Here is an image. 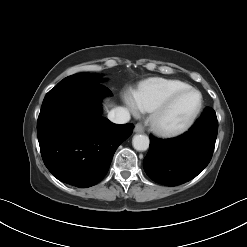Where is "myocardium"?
<instances>
[{
    "instance_id": "obj_1",
    "label": "myocardium",
    "mask_w": 247,
    "mask_h": 247,
    "mask_svg": "<svg viewBox=\"0 0 247 247\" xmlns=\"http://www.w3.org/2000/svg\"><path fill=\"white\" fill-rule=\"evenodd\" d=\"M187 93H196L199 96L198 105L192 114L177 127H166L162 124L163 116L168 112L172 105L183 95ZM204 105L202 93L193 87L177 91L169 96L165 101L152 110L150 124L153 130L163 137H176L187 132L197 121Z\"/></svg>"
}]
</instances>
